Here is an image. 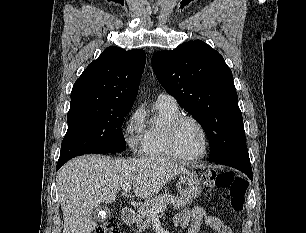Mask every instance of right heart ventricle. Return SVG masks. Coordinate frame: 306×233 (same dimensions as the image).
Wrapping results in <instances>:
<instances>
[{
    "label": "right heart ventricle",
    "mask_w": 306,
    "mask_h": 233,
    "mask_svg": "<svg viewBox=\"0 0 306 233\" xmlns=\"http://www.w3.org/2000/svg\"><path fill=\"white\" fill-rule=\"evenodd\" d=\"M181 116L178 106L156 102L154 115L144 124L145 137L143 154L151 159L171 160L176 157L168 144L170 124Z\"/></svg>",
    "instance_id": "obj_1"
}]
</instances>
